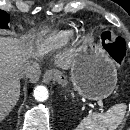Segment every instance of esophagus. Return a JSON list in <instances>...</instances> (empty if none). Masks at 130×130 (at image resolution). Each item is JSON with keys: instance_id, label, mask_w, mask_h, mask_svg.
Here are the masks:
<instances>
[{"instance_id": "1", "label": "esophagus", "mask_w": 130, "mask_h": 130, "mask_svg": "<svg viewBox=\"0 0 130 130\" xmlns=\"http://www.w3.org/2000/svg\"><path fill=\"white\" fill-rule=\"evenodd\" d=\"M56 76H58L57 72L55 70H48L43 77V82L48 84L52 79H54Z\"/></svg>"}]
</instances>
